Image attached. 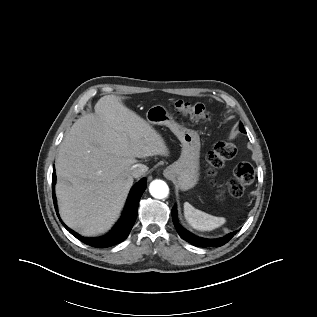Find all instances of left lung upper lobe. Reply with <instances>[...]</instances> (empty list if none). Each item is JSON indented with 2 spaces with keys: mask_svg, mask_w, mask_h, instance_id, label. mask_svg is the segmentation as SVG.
Instances as JSON below:
<instances>
[{
  "mask_svg": "<svg viewBox=\"0 0 317 317\" xmlns=\"http://www.w3.org/2000/svg\"><path fill=\"white\" fill-rule=\"evenodd\" d=\"M240 131L243 133H246L245 129L243 127L240 128Z\"/></svg>",
  "mask_w": 317,
  "mask_h": 317,
  "instance_id": "left-lung-upper-lobe-1",
  "label": "left lung upper lobe"
}]
</instances>
